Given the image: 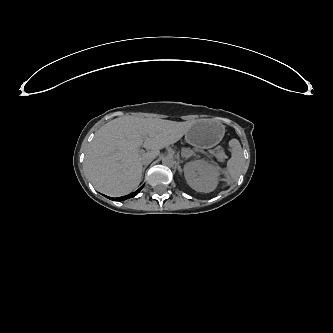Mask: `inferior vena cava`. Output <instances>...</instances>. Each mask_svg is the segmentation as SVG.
<instances>
[{
    "label": "inferior vena cava",
    "mask_w": 333,
    "mask_h": 333,
    "mask_svg": "<svg viewBox=\"0 0 333 333\" xmlns=\"http://www.w3.org/2000/svg\"><path fill=\"white\" fill-rule=\"evenodd\" d=\"M152 160H153V158H144L143 160H142V164L143 165H149L151 162H152Z\"/></svg>",
    "instance_id": "602c4592"
}]
</instances>
